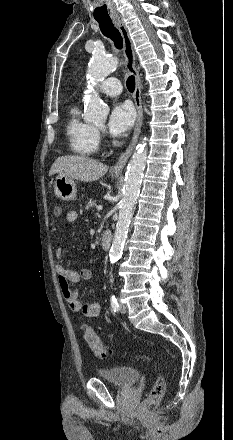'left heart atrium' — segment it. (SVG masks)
Listing matches in <instances>:
<instances>
[{
    "label": "left heart atrium",
    "instance_id": "1",
    "mask_svg": "<svg viewBox=\"0 0 233 440\" xmlns=\"http://www.w3.org/2000/svg\"><path fill=\"white\" fill-rule=\"evenodd\" d=\"M134 119V110L129 103L114 104L107 124L109 133L115 137L125 135L132 127Z\"/></svg>",
    "mask_w": 233,
    "mask_h": 440
}]
</instances>
